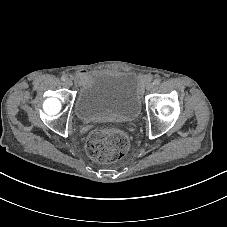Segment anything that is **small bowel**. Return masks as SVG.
Instances as JSON below:
<instances>
[{
	"label": "small bowel",
	"mask_w": 227,
	"mask_h": 227,
	"mask_svg": "<svg viewBox=\"0 0 227 227\" xmlns=\"http://www.w3.org/2000/svg\"><path fill=\"white\" fill-rule=\"evenodd\" d=\"M88 77V73L86 71H81L77 74V78L81 81L84 82ZM141 80L144 81L145 78L141 77Z\"/></svg>",
	"instance_id": "obj_1"
}]
</instances>
